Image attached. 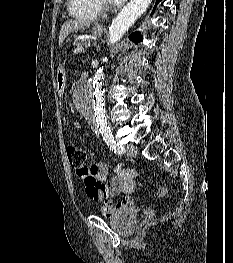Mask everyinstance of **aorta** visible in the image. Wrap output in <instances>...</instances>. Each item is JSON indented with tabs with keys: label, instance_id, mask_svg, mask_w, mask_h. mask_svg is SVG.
I'll return each mask as SVG.
<instances>
[{
	"label": "aorta",
	"instance_id": "762f6f07",
	"mask_svg": "<svg viewBox=\"0 0 233 263\" xmlns=\"http://www.w3.org/2000/svg\"><path fill=\"white\" fill-rule=\"evenodd\" d=\"M151 0H130L113 20L109 28V42H118L135 21L146 11ZM104 71L98 68L94 76L78 87L76 106L79 112L99 131L108 130L104 109Z\"/></svg>",
	"mask_w": 233,
	"mask_h": 263
}]
</instances>
